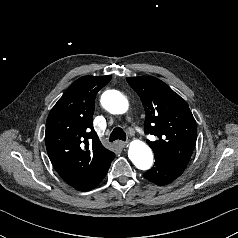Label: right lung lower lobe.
<instances>
[{
	"mask_svg": "<svg viewBox=\"0 0 238 238\" xmlns=\"http://www.w3.org/2000/svg\"><path fill=\"white\" fill-rule=\"evenodd\" d=\"M112 160H110L108 163H106L104 166H102L89 179H87L86 181L76 185L74 188L79 190V191H89V190L95 188L103 180V178L107 174Z\"/></svg>",
	"mask_w": 238,
	"mask_h": 238,
	"instance_id": "1",
	"label": "right lung lower lobe"
}]
</instances>
